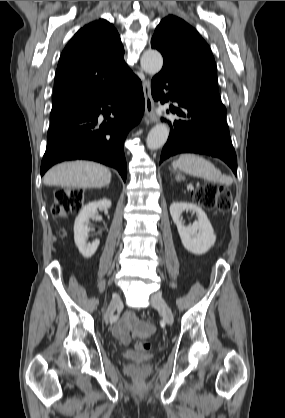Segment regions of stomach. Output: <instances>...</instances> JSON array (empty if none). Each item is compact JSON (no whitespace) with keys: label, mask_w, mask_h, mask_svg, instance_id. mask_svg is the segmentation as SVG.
Returning a JSON list of instances; mask_svg holds the SVG:
<instances>
[{"label":"stomach","mask_w":285,"mask_h":418,"mask_svg":"<svg viewBox=\"0 0 285 418\" xmlns=\"http://www.w3.org/2000/svg\"><path fill=\"white\" fill-rule=\"evenodd\" d=\"M175 178L180 181L184 179V175L180 171L175 170Z\"/></svg>","instance_id":"0dacf381"}]
</instances>
